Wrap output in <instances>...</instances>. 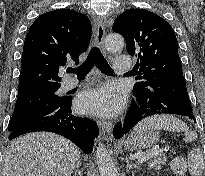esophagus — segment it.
<instances>
[{
	"mask_svg": "<svg viewBox=\"0 0 205 176\" xmlns=\"http://www.w3.org/2000/svg\"><path fill=\"white\" fill-rule=\"evenodd\" d=\"M105 20L102 17L95 19V42L97 46L104 51V37H105ZM98 126L104 133L110 134L113 128L112 122L97 120Z\"/></svg>",
	"mask_w": 205,
	"mask_h": 176,
	"instance_id": "esophagus-1",
	"label": "esophagus"
}]
</instances>
